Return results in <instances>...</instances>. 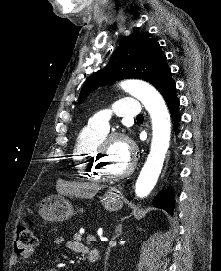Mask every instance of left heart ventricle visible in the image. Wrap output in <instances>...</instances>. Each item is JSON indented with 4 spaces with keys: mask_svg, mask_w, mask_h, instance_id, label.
<instances>
[{
    "mask_svg": "<svg viewBox=\"0 0 221 271\" xmlns=\"http://www.w3.org/2000/svg\"><path fill=\"white\" fill-rule=\"evenodd\" d=\"M103 160L108 175H123L124 168L132 164V159H127V156H104Z\"/></svg>",
    "mask_w": 221,
    "mask_h": 271,
    "instance_id": "b2bd125f",
    "label": "left heart ventricle"
}]
</instances>
